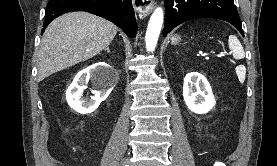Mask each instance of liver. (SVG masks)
Here are the masks:
<instances>
[{"instance_id": "1", "label": "liver", "mask_w": 277, "mask_h": 166, "mask_svg": "<svg viewBox=\"0 0 277 166\" xmlns=\"http://www.w3.org/2000/svg\"><path fill=\"white\" fill-rule=\"evenodd\" d=\"M117 27L87 12L55 19L45 30L38 52V80L91 59L110 45Z\"/></svg>"}]
</instances>
